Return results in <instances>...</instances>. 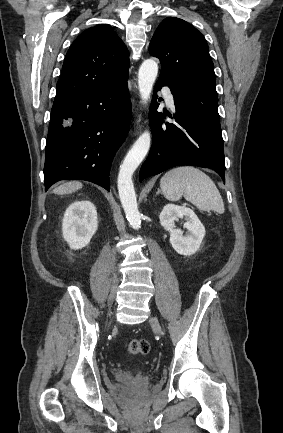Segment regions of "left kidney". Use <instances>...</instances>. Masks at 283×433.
I'll return each instance as SVG.
<instances>
[{
  "instance_id": "left-kidney-1",
  "label": "left kidney",
  "mask_w": 283,
  "mask_h": 433,
  "mask_svg": "<svg viewBox=\"0 0 283 433\" xmlns=\"http://www.w3.org/2000/svg\"><path fill=\"white\" fill-rule=\"evenodd\" d=\"M183 217L187 220L183 226L187 229L185 235L181 229L175 228V221ZM159 219L162 227L170 233V243L178 254L190 256L199 250L205 236V227L193 210L184 206L167 204L162 209Z\"/></svg>"
}]
</instances>
